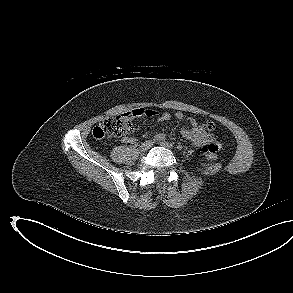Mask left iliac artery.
Returning <instances> with one entry per match:
<instances>
[{
  "label": "left iliac artery",
  "mask_w": 293,
  "mask_h": 293,
  "mask_svg": "<svg viewBox=\"0 0 293 293\" xmlns=\"http://www.w3.org/2000/svg\"><path fill=\"white\" fill-rule=\"evenodd\" d=\"M178 150H182L183 146L181 144H178L176 147Z\"/></svg>",
  "instance_id": "1"
}]
</instances>
